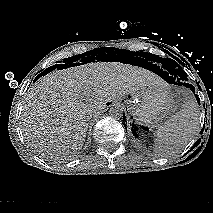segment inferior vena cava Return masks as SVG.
<instances>
[{"instance_id": "1", "label": "inferior vena cava", "mask_w": 213, "mask_h": 213, "mask_svg": "<svg viewBox=\"0 0 213 213\" xmlns=\"http://www.w3.org/2000/svg\"><path fill=\"white\" fill-rule=\"evenodd\" d=\"M92 115H93V117H95V118H96V117H98V115H99V114H98V112H96V111H95V112H93V114H92Z\"/></svg>"}]
</instances>
